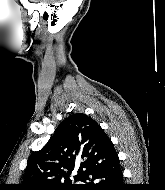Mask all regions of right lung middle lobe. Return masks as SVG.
Wrapping results in <instances>:
<instances>
[{
    "mask_svg": "<svg viewBox=\"0 0 165 190\" xmlns=\"http://www.w3.org/2000/svg\"><path fill=\"white\" fill-rule=\"evenodd\" d=\"M53 190H78V187L75 185H69V186H65V187L55 188Z\"/></svg>",
    "mask_w": 165,
    "mask_h": 190,
    "instance_id": "obj_1",
    "label": "right lung middle lobe"
}]
</instances>
